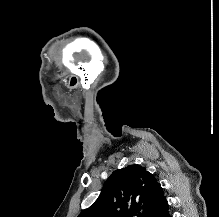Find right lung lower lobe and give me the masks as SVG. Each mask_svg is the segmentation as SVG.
<instances>
[{
    "label": "right lung lower lobe",
    "instance_id": "1",
    "mask_svg": "<svg viewBox=\"0 0 219 217\" xmlns=\"http://www.w3.org/2000/svg\"><path fill=\"white\" fill-rule=\"evenodd\" d=\"M160 217H171L168 213V209Z\"/></svg>",
    "mask_w": 219,
    "mask_h": 217
}]
</instances>
